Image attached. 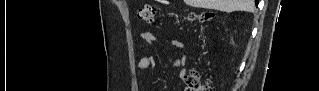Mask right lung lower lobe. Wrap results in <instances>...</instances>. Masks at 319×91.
Listing matches in <instances>:
<instances>
[{"mask_svg":"<svg viewBox=\"0 0 319 91\" xmlns=\"http://www.w3.org/2000/svg\"><path fill=\"white\" fill-rule=\"evenodd\" d=\"M255 2H256V5L258 4V0H255Z\"/></svg>","mask_w":319,"mask_h":91,"instance_id":"1","label":"right lung lower lobe"}]
</instances>
